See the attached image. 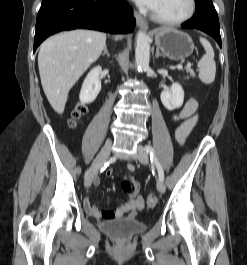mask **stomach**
<instances>
[{"instance_id":"stomach-1","label":"stomach","mask_w":247,"mask_h":265,"mask_svg":"<svg viewBox=\"0 0 247 265\" xmlns=\"http://www.w3.org/2000/svg\"><path fill=\"white\" fill-rule=\"evenodd\" d=\"M154 35L157 48L171 60H183L194 50L192 38L178 29L163 27L156 30Z\"/></svg>"}]
</instances>
